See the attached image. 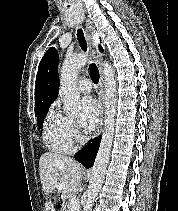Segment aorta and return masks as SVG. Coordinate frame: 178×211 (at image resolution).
<instances>
[{"instance_id":"1","label":"aorta","mask_w":178,"mask_h":211,"mask_svg":"<svg viewBox=\"0 0 178 211\" xmlns=\"http://www.w3.org/2000/svg\"><path fill=\"white\" fill-rule=\"evenodd\" d=\"M87 54H79L65 59L61 69L60 84L64 98V109L72 115L78 114L80 106V93L76 87L78 72L88 63ZM104 74V105L105 120L100 147L91 169L90 185L83 211H92V206L102 187L106 169L110 160L115 130V116L117 103V83L115 71L108 62H103Z\"/></svg>"}]
</instances>
